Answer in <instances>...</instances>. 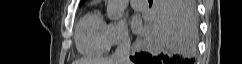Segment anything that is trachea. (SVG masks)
<instances>
[{"label": "trachea", "instance_id": "obj_1", "mask_svg": "<svg viewBox=\"0 0 242 64\" xmlns=\"http://www.w3.org/2000/svg\"><path fill=\"white\" fill-rule=\"evenodd\" d=\"M149 1V3H152L153 2V0H148Z\"/></svg>", "mask_w": 242, "mask_h": 64}]
</instances>
